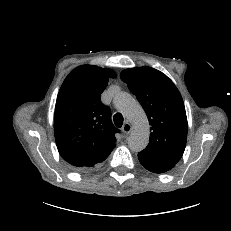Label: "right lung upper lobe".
Segmentation results:
<instances>
[{"instance_id": "right-lung-upper-lobe-1", "label": "right lung upper lobe", "mask_w": 231, "mask_h": 231, "mask_svg": "<svg viewBox=\"0 0 231 231\" xmlns=\"http://www.w3.org/2000/svg\"><path fill=\"white\" fill-rule=\"evenodd\" d=\"M110 69L83 65L65 78L56 101L54 134L63 159L75 167L93 166L105 160L115 147L109 107L100 101Z\"/></svg>"}]
</instances>
